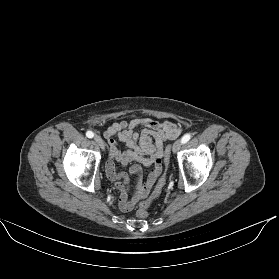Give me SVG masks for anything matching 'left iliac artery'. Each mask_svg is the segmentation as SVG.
Returning <instances> with one entry per match:
<instances>
[{
	"instance_id": "obj_1",
	"label": "left iliac artery",
	"mask_w": 279,
	"mask_h": 279,
	"mask_svg": "<svg viewBox=\"0 0 279 279\" xmlns=\"http://www.w3.org/2000/svg\"><path fill=\"white\" fill-rule=\"evenodd\" d=\"M190 139H191V135H190V134H185V135L182 137L181 141H182V143L184 144V143L188 142Z\"/></svg>"
}]
</instances>
